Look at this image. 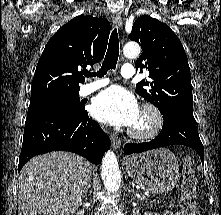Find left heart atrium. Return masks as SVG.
<instances>
[{"label": "left heart atrium", "instance_id": "obj_1", "mask_svg": "<svg viewBox=\"0 0 221 215\" xmlns=\"http://www.w3.org/2000/svg\"><path fill=\"white\" fill-rule=\"evenodd\" d=\"M91 112L102 122L132 127L140 114V109L130 92L119 86H112L96 96Z\"/></svg>", "mask_w": 221, "mask_h": 215}]
</instances>
